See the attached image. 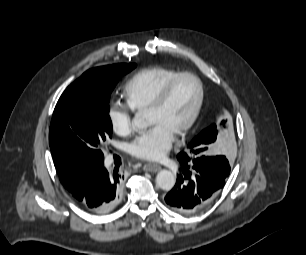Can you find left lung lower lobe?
I'll return each mask as SVG.
<instances>
[{
    "label": "left lung lower lobe",
    "mask_w": 306,
    "mask_h": 255,
    "mask_svg": "<svg viewBox=\"0 0 306 255\" xmlns=\"http://www.w3.org/2000/svg\"><path fill=\"white\" fill-rule=\"evenodd\" d=\"M177 159L183 171L177 175L176 184L165 196V201L176 212L192 214L203 209L215 198L230 172L215 169L184 153H179Z\"/></svg>",
    "instance_id": "1"
}]
</instances>
